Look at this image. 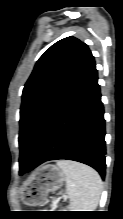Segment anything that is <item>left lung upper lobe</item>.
Wrapping results in <instances>:
<instances>
[{
    "label": "left lung upper lobe",
    "mask_w": 123,
    "mask_h": 219,
    "mask_svg": "<svg viewBox=\"0 0 123 219\" xmlns=\"http://www.w3.org/2000/svg\"><path fill=\"white\" fill-rule=\"evenodd\" d=\"M95 64L88 46L75 37L53 44L25 84L20 108V171L32 159L55 112Z\"/></svg>",
    "instance_id": "5c2ea615"
}]
</instances>
